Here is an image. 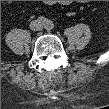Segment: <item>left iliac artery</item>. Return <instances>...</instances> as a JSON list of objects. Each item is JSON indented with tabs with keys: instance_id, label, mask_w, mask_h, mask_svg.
<instances>
[{
	"instance_id": "obj_1",
	"label": "left iliac artery",
	"mask_w": 109,
	"mask_h": 109,
	"mask_svg": "<svg viewBox=\"0 0 109 109\" xmlns=\"http://www.w3.org/2000/svg\"><path fill=\"white\" fill-rule=\"evenodd\" d=\"M51 26V23H48V27H50Z\"/></svg>"
}]
</instances>
